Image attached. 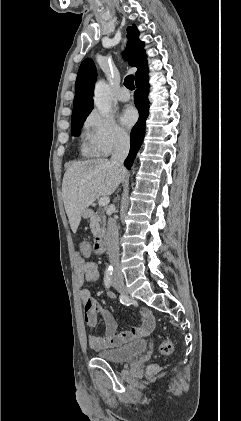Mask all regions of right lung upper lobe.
Segmentation results:
<instances>
[{
    "label": "right lung upper lobe",
    "instance_id": "obj_1",
    "mask_svg": "<svg viewBox=\"0 0 241 421\" xmlns=\"http://www.w3.org/2000/svg\"><path fill=\"white\" fill-rule=\"evenodd\" d=\"M127 48L124 58L132 67H137L136 76L147 66L144 43L139 40V31L133 25L127 28ZM96 81V69L90 59H85L78 70L75 84V97L72 118L89 115L93 109V90Z\"/></svg>",
    "mask_w": 241,
    "mask_h": 421
}]
</instances>
